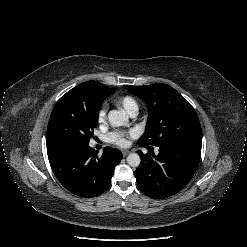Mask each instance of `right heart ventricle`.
Instances as JSON below:
<instances>
[{"mask_svg": "<svg viewBox=\"0 0 247 247\" xmlns=\"http://www.w3.org/2000/svg\"><path fill=\"white\" fill-rule=\"evenodd\" d=\"M120 102L127 111H129L133 107H138L136 100L131 96H123L120 99Z\"/></svg>", "mask_w": 247, "mask_h": 247, "instance_id": "obj_1", "label": "right heart ventricle"}]
</instances>
